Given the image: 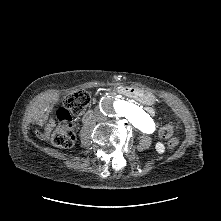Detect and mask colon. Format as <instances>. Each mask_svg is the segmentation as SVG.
Listing matches in <instances>:
<instances>
[{"instance_id":"colon-1","label":"colon","mask_w":221,"mask_h":221,"mask_svg":"<svg viewBox=\"0 0 221 221\" xmlns=\"http://www.w3.org/2000/svg\"><path fill=\"white\" fill-rule=\"evenodd\" d=\"M90 103V94L86 91H78L68 95L64 100V106L57 110L59 126L51 135L53 143L60 148H70L75 142V128L72 124V118L80 116ZM50 126L48 125L39 132L41 136H48ZM159 137L169 140L170 147H176L179 144V138L174 135V128L171 124H166L159 129Z\"/></svg>"}]
</instances>
